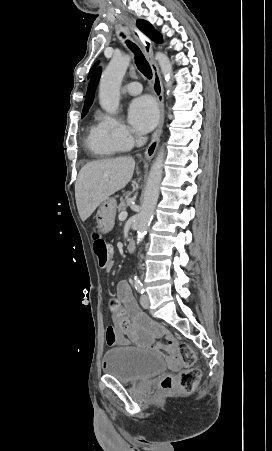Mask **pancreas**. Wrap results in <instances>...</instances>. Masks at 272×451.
Instances as JSON below:
<instances>
[{
  "mask_svg": "<svg viewBox=\"0 0 272 451\" xmlns=\"http://www.w3.org/2000/svg\"><path fill=\"white\" fill-rule=\"evenodd\" d=\"M125 210H126L125 200H121V204H119L118 206V212H125Z\"/></svg>",
  "mask_w": 272,
  "mask_h": 451,
  "instance_id": "cf45deb5",
  "label": "pancreas"
}]
</instances>
